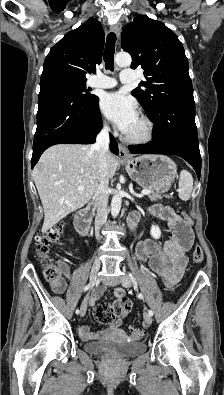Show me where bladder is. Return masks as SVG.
<instances>
[{"mask_svg":"<svg viewBox=\"0 0 224 395\" xmlns=\"http://www.w3.org/2000/svg\"><path fill=\"white\" fill-rule=\"evenodd\" d=\"M113 348L120 357H132L145 351L146 345L142 342L98 341L89 343L85 349L89 353L99 354Z\"/></svg>","mask_w":224,"mask_h":395,"instance_id":"bladder-1","label":"bladder"}]
</instances>
